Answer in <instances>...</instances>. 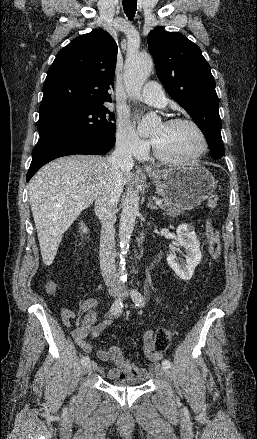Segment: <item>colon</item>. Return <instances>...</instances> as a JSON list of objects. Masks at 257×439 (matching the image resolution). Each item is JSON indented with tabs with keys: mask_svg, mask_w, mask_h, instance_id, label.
<instances>
[{
	"mask_svg": "<svg viewBox=\"0 0 257 439\" xmlns=\"http://www.w3.org/2000/svg\"><path fill=\"white\" fill-rule=\"evenodd\" d=\"M218 196L216 194H212L207 199V206L211 209L216 208L218 204ZM207 230H208V245H209V253L213 260H218L221 254V243H220V237L219 232L215 228V226L212 223V220L209 219L207 223ZM50 289H54L53 285H50ZM171 340V332L166 329H159L156 331L154 335V349L157 352H163L165 351ZM124 381L123 378H118L117 383L121 384Z\"/></svg>",
	"mask_w": 257,
	"mask_h": 439,
	"instance_id": "5ec220e1",
	"label": "colon"
}]
</instances>
